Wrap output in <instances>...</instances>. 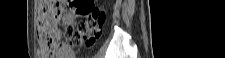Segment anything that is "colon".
Returning <instances> with one entry per match:
<instances>
[{"label":"colon","mask_w":225,"mask_h":58,"mask_svg":"<svg viewBox=\"0 0 225 58\" xmlns=\"http://www.w3.org/2000/svg\"><path fill=\"white\" fill-rule=\"evenodd\" d=\"M36 38L39 58H65L66 43L74 48L90 46L100 36L105 12L93 0H38ZM75 7L83 18L75 28L67 19ZM63 27V29H62Z\"/></svg>","instance_id":"obj_1"}]
</instances>
